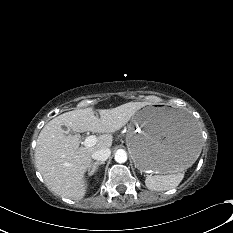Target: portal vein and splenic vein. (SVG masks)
Here are the masks:
<instances>
[{
	"mask_svg": "<svg viewBox=\"0 0 233 233\" xmlns=\"http://www.w3.org/2000/svg\"><path fill=\"white\" fill-rule=\"evenodd\" d=\"M97 137L95 135L88 136L84 141L85 147H92L96 144Z\"/></svg>",
	"mask_w": 233,
	"mask_h": 233,
	"instance_id": "obj_1",
	"label": "portal vein and splenic vein"
}]
</instances>
